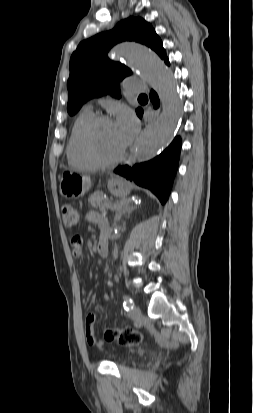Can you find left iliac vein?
Returning a JSON list of instances; mask_svg holds the SVG:
<instances>
[{
	"label": "left iliac vein",
	"instance_id": "4c4485c4",
	"mask_svg": "<svg viewBox=\"0 0 253 413\" xmlns=\"http://www.w3.org/2000/svg\"><path fill=\"white\" fill-rule=\"evenodd\" d=\"M129 315L131 318H139L141 316V310L139 307L134 306L132 307V309L129 312Z\"/></svg>",
	"mask_w": 253,
	"mask_h": 413
}]
</instances>
